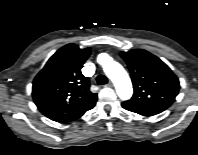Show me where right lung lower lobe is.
Returning <instances> with one entry per match:
<instances>
[{"label":"right lung lower lobe","instance_id":"right-lung-lower-lobe-1","mask_svg":"<svg viewBox=\"0 0 198 155\" xmlns=\"http://www.w3.org/2000/svg\"><path fill=\"white\" fill-rule=\"evenodd\" d=\"M96 103V102H95ZM95 103H93L89 108H87L86 110L82 111L81 113L77 114L76 116L72 117V118H69V119H66L64 120L63 122H69V121H73V120H76L78 119L80 116H82L86 111L92 109L95 105Z\"/></svg>","mask_w":198,"mask_h":155}]
</instances>
